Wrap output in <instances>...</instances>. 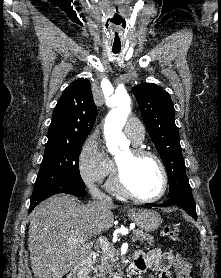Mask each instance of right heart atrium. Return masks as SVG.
<instances>
[{
    "instance_id": "d8ad5b80",
    "label": "right heart atrium",
    "mask_w": 221,
    "mask_h": 278,
    "mask_svg": "<svg viewBox=\"0 0 221 278\" xmlns=\"http://www.w3.org/2000/svg\"><path fill=\"white\" fill-rule=\"evenodd\" d=\"M78 171L81 179L88 185L104 181L114 171L113 164L104 156L93 136H89L82 145Z\"/></svg>"
}]
</instances>
